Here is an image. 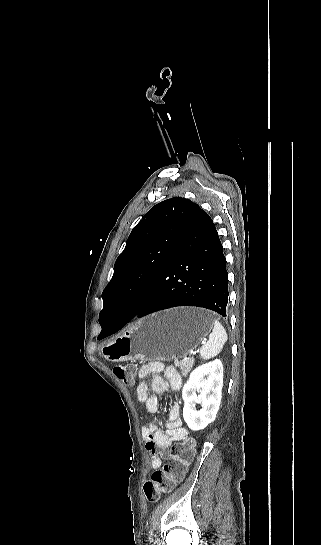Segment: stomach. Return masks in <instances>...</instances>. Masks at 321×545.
I'll return each instance as SVG.
<instances>
[{"label":"stomach","instance_id":"obj_1","mask_svg":"<svg viewBox=\"0 0 321 545\" xmlns=\"http://www.w3.org/2000/svg\"><path fill=\"white\" fill-rule=\"evenodd\" d=\"M211 311L199 307H176L139 319L107 345V359L152 361L180 359L192 353L212 329Z\"/></svg>","mask_w":321,"mask_h":545}]
</instances>
